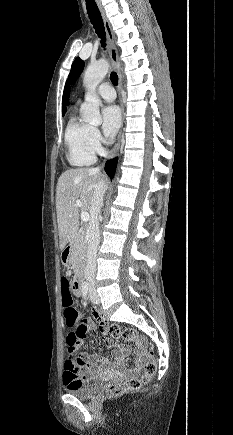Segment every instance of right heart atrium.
<instances>
[{
  "mask_svg": "<svg viewBox=\"0 0 233 435\" xmlns=\"http://www.w3.org/2000/svg\"><path fill=\"white\" fill-rule=\"evenodd\" d=\"M103 138L96 128H91L90 147L94 153H100L103 150Z\"/></svg>",
  "mask_w": 233,
  "mask_h": 435,
  "instance_id": "1",
  "label": "right heart atrium"
}]
</instances>
